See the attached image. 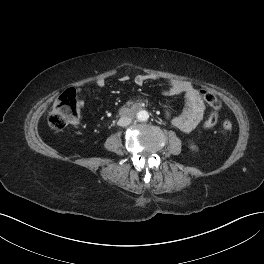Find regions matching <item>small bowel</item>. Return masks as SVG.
Returning <instances> with one entry per match:
<instances>
[{"label": "small bowel", "instance_id": "1", "mask_svg": "<svg viewBox=\"0 0 264 264\" xmlns=\"http://www.w3.org/2000/svg\"><path fill=\"white\" fill-rule=\"evenodd\" d=\"M154 79L153 76L148 74H137L134 77V83L141 86L147 81ZM119 80L124 83L129 81V77L122 76ZM96 86L100 89L104 88L106 86L105 80L99 79L96 82ZM163 92L166 95H184L185 107L181 114L171 116L167 113V117L170 118L173 126L180 131L185 133L193 131L203 119L205 112V104L200 91L191 82L171 79L168 80L167 87Z\"/></svg>", "mask_w": 264, "mask_h": 264}]
</instances>
